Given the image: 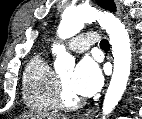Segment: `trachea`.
I'll return each mask as SVG.
<instances>
[{"label":"trachea","instance_id":"obj_1","mask_svg":"<svg viewBox=\"0 0 142 119\" xmlns=\"http://www.w3.org/2000/svg\"><path fill=\"white\" fill-rule=\"evenodd\" d=\"M100 48H109V42L106 39L101 40Z\"/></svg>","mask_w":142,"mask_h":119}]
</instances>
